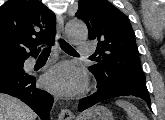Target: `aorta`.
Listing matches in <instances>:
<instances>
[{
    "label": "aorta",
    "instance_id": "1",
    "mask_svg": "<svg viewBox=\"0 0 165 120\" xmlns=\"http://www.w3.org/2000/svg\"><path fill=\"white\" fill-rule=\"evenodd\" d=\"M69 38L74 42L85 40L88 37V29L81 20H70L65 27Z\"/></svg>",
    "mask_w": 165,
    "mask_h": 120
}]
</instances>
